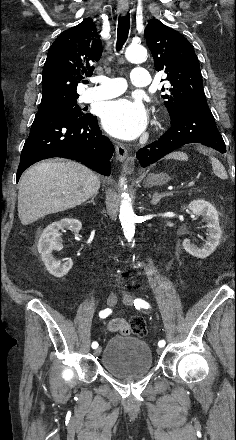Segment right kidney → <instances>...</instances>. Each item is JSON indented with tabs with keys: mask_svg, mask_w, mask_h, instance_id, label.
Listing matches in <instances>:
<instances>
[{
	"mask_svg": "<svg viewBox=\"0 0 236 440\" xmlns=\"http://www.w3.org/2000/svg\"><path fill=\"white\" fill-rule=\"evenodd\" d=\"M81 228L82 224L78 219L64 218L48 225L41 234L37 246L38 252L41 254L42 261L44 262L47 271L54 277H63L69 272L73 265L71 259L61 263L52 255L54 250L60 251L63 248L59 230L69 229L78 234Z\"/></svg>",
	"mask_w": 236,
	"mask_h": 440,
	"instance_id": "1",
	"label": "right kidney"
}]
</instances>
